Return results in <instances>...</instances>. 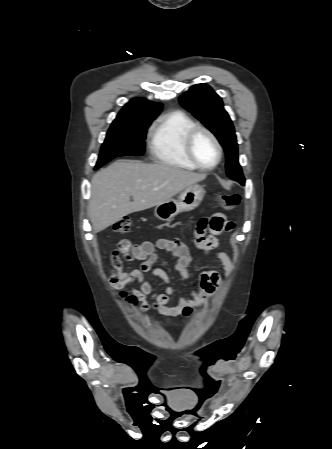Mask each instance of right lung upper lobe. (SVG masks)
<instances>
[{"label":"right lung upper lobe","instance_id":"obj_1","mask_svg":"<svg viewBox=\"0 0 332 449\" xmlns=\"http://www.w3.org/2000/svg\"><path fill=\"white\" fill-rule=\"evenodd\" d=\"M161 104L150 102L146 99L136 98L127 103L118 113L116 119L146 118L155 119L160 113Z\"/></svg>","mask_w":332,"mask_h":449}]
</instances>
